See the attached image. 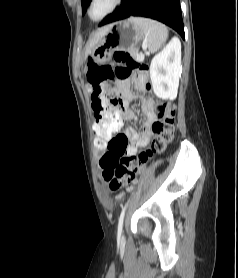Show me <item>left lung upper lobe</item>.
Wrapping results in <instances>:
<instances>
[{"label": "left lung upper lobe", "instance_id": "obj_1", "mask_svg": "<svg viewBox=\"0 0 238 278\" xmlns=\"http://www.w3.org/2000/svg\"><path fill=\"white\" fill-rule=\"evenodd\" d=\"M89 1H90V0H82L81 4H82V9H83V11H85L86 6H87V3H88Z\"/></svg>", "mask_w": 238, "mask_h": 278}]
</instances>
